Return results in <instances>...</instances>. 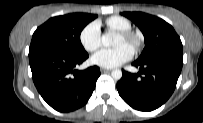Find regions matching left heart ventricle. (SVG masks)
I'll use <instances>...</instances> for the list:
<instances>
[{
	"instance_id": "left-heart-ventricle-1",
	"label": "left heart ventricle",
	"mask_w": 203,
	"mask_h": 123,
	"mask_svg": "<svg viewBox=\"0 0 203 123\" xmlns=\"http://www.w3.org/2000/svg\"><path fill=\"white\" fill-rule=\"evenodd\" d=\"M120 44H125L131 48V44L127 41H125L119 34L116 36V39L114 41V45H120Z\"/></svg>"
}]
</instances>
